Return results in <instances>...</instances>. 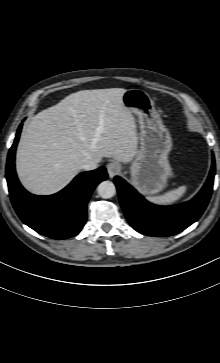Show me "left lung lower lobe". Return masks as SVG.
<instances>
[{"label":"left lung lower lobe","instance_id":"left-lung-lower-lobe-1","mask_svg":"<svg viewBox=\"0 0 220 363\" xmlns=\"http://www.w3.org/2000/svg\"><path fill=\"white\" fill-rule=\"evenodd\" d=\"M215 159L206 183L189 202L175 207H159L147 202L120 177L114 178L126 218L138 232L156 237L175 235L197 221L204 212L212 193Z\"/></svg>","mask_w":220,"mask_h":363}]
</instances>
